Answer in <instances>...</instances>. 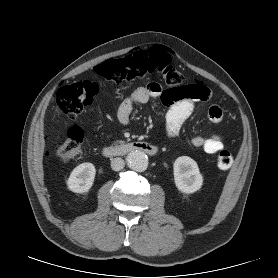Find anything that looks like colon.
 I'll return each instance as SVG.
<instances>
[{
	"mask_svg": "<svg viewBox=\"0 0 278 278\" xmlns=\"http://www.w3.org/2000/svg\"><path fill=\"white\" fill-rule=\"evenodd\" d=\"M96 74L105 81L132 85L146 77L157 74L172 87V99H200L203 89L200 84H186L185 76L170 64L168 53L161 47L137 51L123 58L109 59L95 67ZM99 85L95 81L84 80L59 88L56 97V110L71 120L77 119L88 108L98 93ZM83 131L73 126L68 131L67 139L55 148L56 155L62 161H72L81 156ZM220 169H229L233 163L230 152L226 149L218 151L216 158Z\"/></svg>",
	"mask_w": 278,
	"mask_h": 278,
	"instance_id": "5ec220e1",
	"label": "colon"
}]
</instances>
